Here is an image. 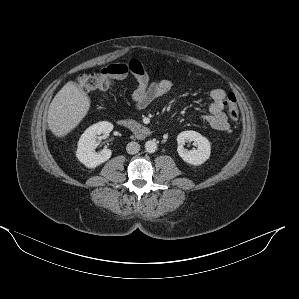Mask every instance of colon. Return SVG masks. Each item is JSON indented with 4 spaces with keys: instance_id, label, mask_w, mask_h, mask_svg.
<instances>
[{
    "instance_id": "obj_1",
    "label": "colon",
    "mask_w": 299,
    "mask_h": 299,
    "mask_svg": "<svg viewBox=\"0 0 299 299\" xmlns=\"http://www.w3.org/2000/svg\"><path fill=\"white\" fill-rule=\"evenodd\" d=\"M127 70L124 65H112L100 71L82 74L78 77V85L85 92L104 91L109 89L113 83L125 76ZM226 112L232 120L239 117V107L236 96L228 93L225 98Z\"/></svg>"
}]
</instances>
